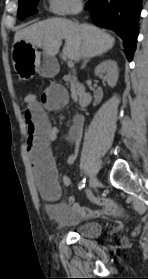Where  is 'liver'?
<instances>
[{"label": "liver", "instance_id": "6515ba94", "mask_svg": "<svg viewBox=\"0 0 148 279\" xmlns=\"http://www.w3.org/2000/svg\"><path fill=\"white\" fill-rule=\"evenodd\" d=\"M65 40L64 56L79 62L109 51L114 37L90 24H75L68 19L53 18L34 23L15 33L14 42L25 41L42 48L44 53L54 57Z\"/></svg>", "mask_w": 148, "mask_h": 279}]
</instances>
